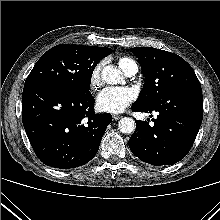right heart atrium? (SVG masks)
Instances as JSON below:
<instances>
[{
  "mask_svg": "<svg viewBox=\"0 0 220 220\" xmlns=\"http://www.w3.org/2000/svg\"><path fill=\"white\" fill-rule=\"evenodd\" d=\"M103 66V62H99L96 64L93 69L91 70L89 82L92 89H97L100 87L102 80H101V69Z\"/></svg>",
  "mask_w": 220,
  "mask_h": 220,
  "instance_id": "obj_1",
  "label": "right heart atrium"
}]
</instances>
